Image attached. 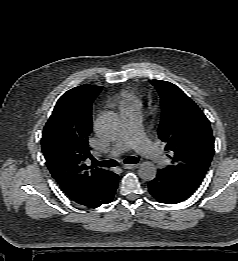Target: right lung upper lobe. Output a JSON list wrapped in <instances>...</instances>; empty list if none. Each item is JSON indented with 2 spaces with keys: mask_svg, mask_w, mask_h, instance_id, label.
I'll use <instances>...</instances> for the list:
<instances>
[{
  "mask_svg": "<svg viewBox=\"0 0 238 261\" xmlns=\"http://www.w3.org/2000/svg\"><path fill=\"white\" fill-rule=\"evenodd\" d=\"M102 86L81 85L60 97L47 121L41 146L47 167L63 192L80 202L93 193L107 170L87 166L92 103Z\"/></svg>",
  "mask_w": 238,
  "mask_h": 261,
  "instance_id": "cb5924a9",
  "label": "right lung upper lobe"
}]
</instances>
